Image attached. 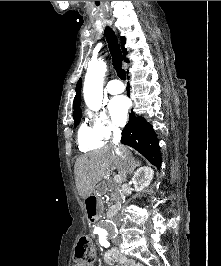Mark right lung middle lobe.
I'll list each match as a JSON object with an SVG mask.
<instances>
[{"instance_id": "1", "label": "right lung middle lobe", "mask_w": 221, "mask_h": 266, "mask_svg": "<svg viewBox=\"0 0 221 266\" xmlns=\"http://www.w3.org/2000/svg\"><path fill=\"white\" fill-rule=\"evenodd\" d=\"M74 125L77 126L81 120V114L79 115H74Z\"/></svg>"}]
</instances>
